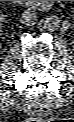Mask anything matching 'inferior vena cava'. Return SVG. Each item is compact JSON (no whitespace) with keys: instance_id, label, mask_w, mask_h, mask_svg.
Returning a JSON list of instances; mask_svg holds the SVG:
<instances>
[{"instance_id":"1","label":"inferior vena cava","mask_w":74,"mask_h":122,"mask_svg":"<svg viewBox=\"0 0 74 122\" xmlns=\"http://www.w3.org/2000/svg\"><path fill=\"white\" fill-rule=\"evenodd\" d=\"M21 20L23 23H25L27 26L34 25L36 22V14L29 10H25L21 15Z\"/></svg>"}]
</instances>
